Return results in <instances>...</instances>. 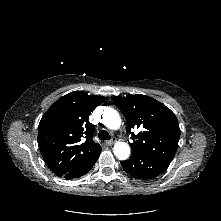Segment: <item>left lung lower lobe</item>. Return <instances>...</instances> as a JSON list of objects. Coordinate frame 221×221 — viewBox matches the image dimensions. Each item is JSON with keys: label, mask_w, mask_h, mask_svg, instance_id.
Masks as SVG:
<instances>
[{"label": "left lung lower lobe", "mask_w": 221, "mask_h": 221, "mask_svg": "<svg viewBox=\"0 0 221 221\" xmlns=\"http://www.w3.org/2000/svg\"><path fill=\"white\" fill-rule=\"evenodd\" d=\"M169 164V161L143 158L139 155H131L128 160L121 161L126 173L142 180L159 176L168 168Z\"/></svg>", "instance_id": "0a47b994"}]
</instances>
